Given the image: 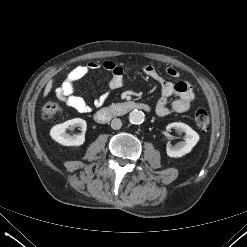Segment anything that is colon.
<instances>
[{
  "label": "colon",
  "mask_w": 247,
  "mask_h": 247,
  "mask_svg": "<svg viewBox=\"0 0 247 247\" xmlns=\"http://www.w3.org/2000/svg\"><path fill=\"white\" fill-rule=\"evenodd\" d=\"M60 110L61 108L56 102L49 100L43 106V118L46 120L53 119L60 112ZM194 122L198 129L202 131L206 130L210 124V117L208 112L204 109L196 110L194 113Z\"/></svg>",
  "instance_id": "colon-1"
}]
</instances>
